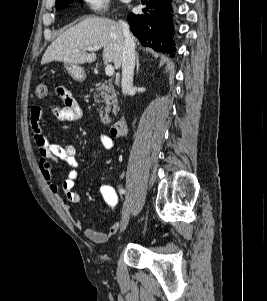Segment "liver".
<instances>
[{
	"instance_id": "liver-1",
	"label": "liver",
	"mask_w": 267,
	"mask_h": 301,
	"mask_svg": "<svg viewBox=\"0 0 267 301\" xmlns=\"http://www.w3.org/2000/svg\"><path fill=\"white\" fill-rule=\"evenodd\" d=\"M123 45V30L118 22L109 18L87 17L49 45L41 64L51 61L76 65L92 63L96 60V54L87 53L86 48L96 47L103 48L105 64L112 62L119 69L122 64Z\"/></svg>"
}]
</instances>
